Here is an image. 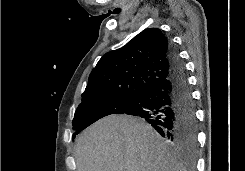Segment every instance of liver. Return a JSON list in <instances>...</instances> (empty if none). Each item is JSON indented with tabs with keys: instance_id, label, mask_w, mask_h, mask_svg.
<instances>
[{
	"instance_id": "obj_1",
	"label": "liver",
	"mask_w": 245,
	"mask_h": 171,
	"mask_svg": "<svg viewBox=\"0 0 245 171\" xmlns=\"http://www.w3.org/2000/svg\"><path fill=\"white\" fill-rule=\"evenodd\" d=\"M77 171H186L152 126L127 115L107 116L77 138Z\"/></svg>"
}]
</instances>
